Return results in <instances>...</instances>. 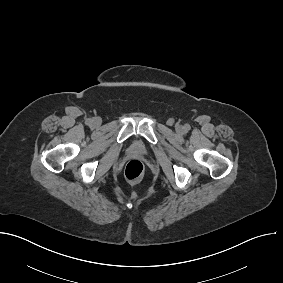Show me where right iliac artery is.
Instances as JSON below:
<instances>
[{
	"mask_svg": "<svg viewBox=\"0 0 283 283\" xmlns=\"http://www.w3.org/2000/svg\"><path fill=\"white\" fill-rule=\"evenodd\" d=\"M87 122H88V123H91V120H88Z\"/></svg>",
	"mask_w": 283,
	"mask_h": 283,
	"instance_id": "right-iliac-artery-1",
	"label": "right iliac artery"
}]
</instances>
